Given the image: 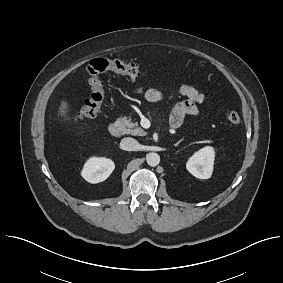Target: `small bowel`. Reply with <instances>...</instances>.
Instances as JSON below:
<instances>
[{
    "label": "small bowel",
    "mask_w": 283,
    "mask_h": 283,
    "mask_svg": "<svg viewBox=\"0 0 283 283\" xmlns=\"http://www.w3.org/2000/svg\"><path fill=\"white\" fill-rule=\"evenodd\" d=\"M135 91L137 94H142L149 102H157L164 97V93L155 88H137ZM175 94L185 97L186 100L178 103L171 113L170 127L173 129L179 128L186 116H198V105L206 101V97L203 93L199 92L193 86L187 84L179 86L175 90Z\"/></svg>",
    "instance_id": "c3829d8e"
}]
</instances>
